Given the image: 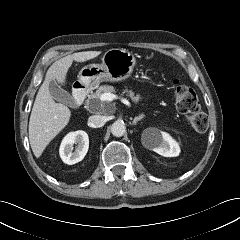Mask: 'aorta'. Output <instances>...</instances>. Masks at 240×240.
<instances>
[{
    "label": "aorta",
    "mask_w": 240,
    "mask_h": 240,
    "mask_svg": "<svg viewBox=\"0 0 240 240\" xmlns=\"http://www.w3.org/2000/svg\"><path fill=\"white\" fill-rule=\"evenodd\" d=\"M126 132V126L121 121H116L111 126V133L116 137H121Z\"/></svg>",
    "instance_id": "aorta-1"
}]
</instances>
